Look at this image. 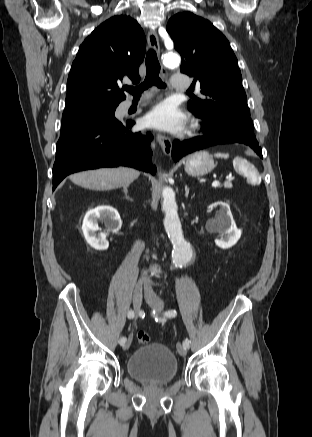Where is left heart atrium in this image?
Returning <instances> with one entry per match:
<instances>
[{"instance_id":"obj_1","label":"left heart atrium","mask_w":312,"mask_h":437,"mask_svg":"<svg viewBox=\"0 0 312 437\" xmlns=\"http://www.w3.org/2000/svg\"><path fill=\"white\" fill-rule=\"evenodd\" d=\"M186 121V115L171 101L158 104L146 116L148 125L171 132L182 130Z\"/></svg>"}]
</instances>
